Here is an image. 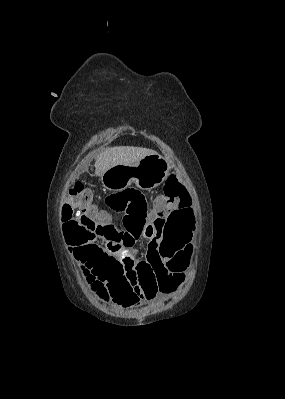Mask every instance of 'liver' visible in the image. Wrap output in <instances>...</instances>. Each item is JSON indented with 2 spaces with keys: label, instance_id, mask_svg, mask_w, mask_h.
<instances>
[{
  "label": "liver",
  "instance_id": "obj_1",
  "mask_svg": "<svg viewBox=\"0 0 285 399\" xmlns=\"http://www.w3.org/2000/svg\"><path fill=\"white\" fill-rule=\"evenodd\" d=\"M154 153L153 150L142 147L116 146L106 148L95 161V174L101 177L105 171L113 166L133 165L145 156Z\"/></svg>",
  "mask_w": 285,
  "mask_h": 399
}]
</instances>
